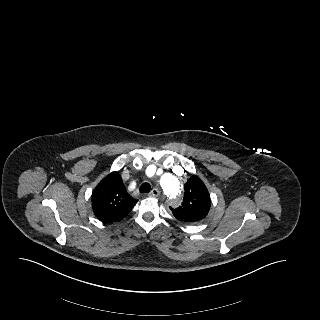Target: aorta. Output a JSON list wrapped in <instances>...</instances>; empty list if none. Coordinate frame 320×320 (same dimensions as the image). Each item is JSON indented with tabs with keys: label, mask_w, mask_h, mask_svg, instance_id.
Wrapping results in <instances>:
<instances>
[{
	"label": "aorta",
	"mask_w": 320,
	"mask_h": 320,
	"mask_svg": "<svg viewBox=\"0 0 320 320\" xmlns=\"http://www.w3.org/2000/svg\"><path fill=\"white\" fill-rule=\"evenodd\" d=\"M161 186L168 202L173 206H180L182 198L180 195L181 189L178 180L170 174L164 175L161 178Z\"/></svg>",
	"instance_id": "obj_1"
}]
</instances>
